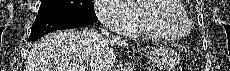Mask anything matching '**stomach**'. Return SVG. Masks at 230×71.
Returning <instances> with one entry per match:
<instances>
[{
    "label": "stomach",
    "mask_w": 230,
    "mask_h": 71,
    "mask_svg": "<svg viewBox=\"0 0 230 71\" xmlns=\"http://www.w3.org/2000/svg\"><path fill=\"white\" fill-rule=\"evenodd\" d=\"M147 55L154 65L162 69H171L179 61L177 52L162 46L151 48Z\"/></svg>",
    "instance_id": "0dacf381"
}]
</instances>
